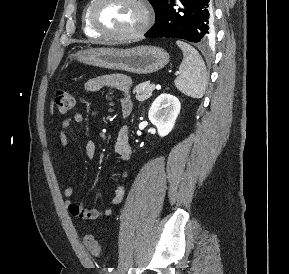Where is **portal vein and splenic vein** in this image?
Segmentation results:
<instances>
[{
	"instance_id": "18ae733b",
	"label": "portal vein and splenic vein",
	"mask_w": 289,
	"mask_h": 274,
	"mask_svg": "<svg viewBox=\"0 0 289 274\" xmlns=\"http://www.w3.org/2000/svg\"><path fill=\"white\" fill-rule=\"evenodd\" d=\"M154 89H155V85L152 84V85H151V90L153 91Z\"/></svg>"
}]
</instances>
